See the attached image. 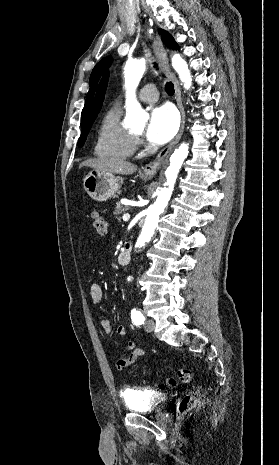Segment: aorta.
<instances>
[{
	"instance_id": "762f6f07",
	"label": "aorta",
	"mask_w": 279,
	"mask_h": 465,
	"mask_svg": "<svg viewBox=\"0 0 279 465\" xmlns=\"http://www.w3.org/2000/svg\"><path fill=\"white\" fill-rule=\"evenodd\" d=\"M172 66L178 73L185 89H189L192 84V77L188 65L179 54L172 57ZM145 72V61L133 60L127 62L124 68L125 87H126V111L127 118L135 127H143L147 121V114L142 109L140 103L136 100L135 91ZM188 144L182 143L170 157V165L165 171L167 179L166 187L161 188L154 204L147 210L144 226L138 237L135 247L139 248L151 240L154 231L158 225L159 217L164 212L170 197L172 195L175 181L179 170L188 156Z\"/></svg>"
}]
</instances>
